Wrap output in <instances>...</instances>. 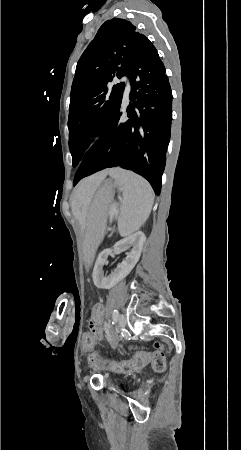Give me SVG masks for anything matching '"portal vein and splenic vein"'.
Returning <instances> with one entry per match:
<instances>
[{
	"mask_svg": "<svg viewBox=\"0 0 241 450\" xmlns=\"http://www.w3.org/2000/svg\"><path fill=\"white\" fill-rule=\"evenodd\" d=\"M118 202H113V204H108V209L110 213H117Z\"/></svg>",
	"mask_w": 241,
	"mask_h": 450,
	"instance_id": "portal-vein-and-splenic-vein-1",
	"label": "portal vein and splenic vein"
}]
</instances>
